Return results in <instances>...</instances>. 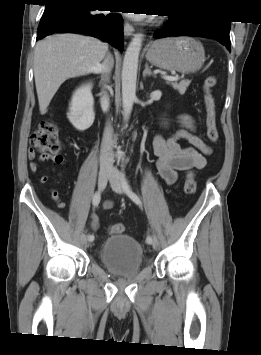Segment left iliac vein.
<instances>
[{
	"label": "left iliac vein",
	"instance_id": "left-iliac-vein-1",
	"mask_svg": "<svg viewBox=\"0 0 261 355\" xmlns=\"http://www.w3.org/2000/svg\"><path fill=\"white\" fill-rule=\"evenodd\" d=\"M123 176L119 173L116 167H113L111 169V174L109 177V182L111 184L112 189L118 193V194H123L124 193V188H123ZM154 248H157L158 246V241L156 238L153 239V242L151 243Z\"/></svg>",
	"mask_w": 261,
	"mask_h": 355
}]
</instances>
